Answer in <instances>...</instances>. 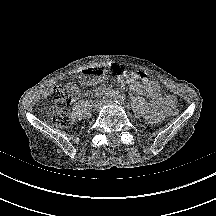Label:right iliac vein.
I'll return each instance as SVG.
<instances>
[{"mask_svg":"<svg viewBox=\"0 0 216 216\" xmlns=\"http://www.w3.org/2000/svg\"><path fill=\"white\" fill-rule=\"evenodd\" d=\"M104 104V100L100 99L94 104V110H99Z\"/></svg>","mask_w":216,"mask_h":216,"instance_id":"obj_1","label":"right iliac vein"}]
</instances>
